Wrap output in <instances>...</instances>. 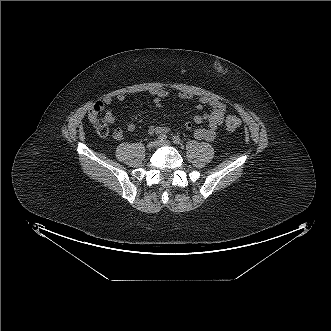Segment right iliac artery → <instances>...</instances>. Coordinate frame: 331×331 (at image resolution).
Instances as JSON below:
<instances>
[{"instance_id":"1","label":"right iliac artery","mask_w":331,"mask_h":331,"mask_svg":"<svg viewBox=\"0 0 331 331\" xmlns=\"http://www.w3.org/2000/svg\"><path fill=\"white\" fill-rule=\"evenodd\" d=\"M166 139H167V136H166L165 134H161V135H159L158 138H157V140H158L159 142H164V141H166Z\"/></svg>"}]
</instances>
